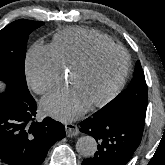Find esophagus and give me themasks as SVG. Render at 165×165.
I'll return each mask as SVG.
<instances>
[{"label": "esophagus", "mask_w": 165, "mask_h": 165, "mask_svg": "<svg viewBox=\"0 0 165 165\" xmlns=\"http://www.w3.org/2000/svg\"><path fill=\"white\" fill-rule=\"evenodd\" d=\"M65 129H66V135L68 137L76 136L79 133L77 125L73 123H66Z\"/></svg>", "instance_id": "obj_1"}]
</instances>
